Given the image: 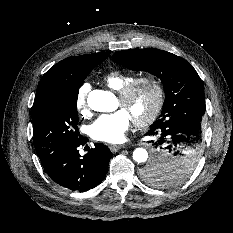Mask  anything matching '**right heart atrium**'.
Listing matches in <instances>:
<instances>
[{"label":"right heart atrium","mask_w":233,"mask_h":233,"mask_svg":"<svg viewBox=\"0 0 233 233\" xmlns=\"http://www.w3.org/2000/svg\"><path fill=\"white\" fill-rule=\"evenodd\" d=\"M89 91L90 84L87 82H83L76 92L75 107L82 116H86L89 113L87 102Z\"/></svg>","instance_id":"obj_1"}]
</instances>
